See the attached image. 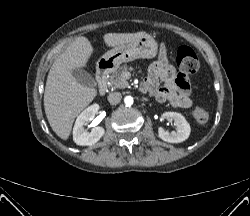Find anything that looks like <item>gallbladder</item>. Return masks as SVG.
Returning a JSON list of instances; mask_svg holds the SVG:
<instances>
[{"instance_id": "bac80fb5", "label": "gallbladder", "mask_w": 250, "mask_h": 216, "mask_svg": "<svg viewBox=\"0 0 250 216\" xmlns=\"http://www.w3.org/2000/svg\"><path fill=\"white\" fill-rule=\"evenodd\" d=\"M73 76L75 77L76 81L84 86H94L95 80L93 77L82 69H75L73 71Z\"/></svg>"}]
</instances>
